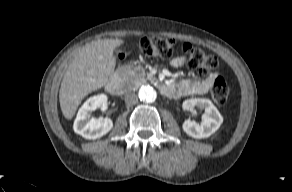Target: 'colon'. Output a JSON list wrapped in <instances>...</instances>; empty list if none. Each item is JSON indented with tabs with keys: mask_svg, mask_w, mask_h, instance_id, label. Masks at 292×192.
Listing matches in <instances>:
<instances>
[{
	"mask_svg": "<svg viewBox=\"0 0 292 192\" xmlns=\"http://www.w3.org/2000/svg\"><path fill=\"white\" fill-rule=\"evenodd\" d=\"M139 50L144 55L160 59L170 58L175 51V41L165 37H145L140 41ZM190 68L198 69L203 75L209 74L218 66V60L211 54L190 43L182 46ZM229 96V88L225 79L221 76L215 78L211 97L217 104H224Z\"/></svg>",
	"mask_w": 292,
	"mask_h": 192,
	"instance_id": "colon-1",
	"label": "colon"
}]
</instances>
